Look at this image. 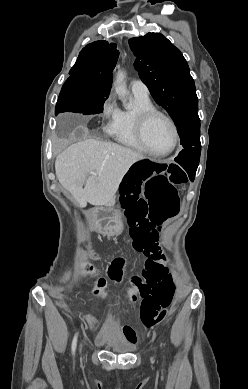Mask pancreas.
I'll return each mask as SVG.
<instances>
[{
    "label": "pancreas",
    "mask_w": 248,
    "mask_h": 389,
    "mask_svg": "<svg viewBox=\"0 0 248 389\" xmlns=\"http://www.w3.org/2000/svg\"><path fill=\"white\" fill-rule=\"evenodd\" d=\"M114 204H115V200H112L111 202H109V204H108V207H109L108 211L109 212L113 211L112 207L114 206Z\"/></svg>",
    "instance_id": "pancreas-1"
}]
</instances>
